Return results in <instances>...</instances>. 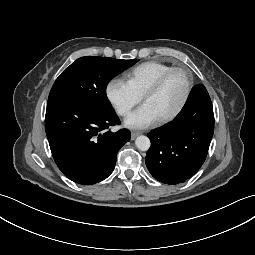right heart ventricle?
I'll return each mask as SVG.
<instances>
[{"label":"right heart ventricle","mask_w":255,"mask_h":255,"mask_svg":"<svg viewBox=\"0 0 255 255\" xmlns=\"http://www.w3.org/2000/svg\"><path fill=\"white\" fill-rule=\"evenodd\" d=\"M171 68L172 66L157 61L141 63L127 74L128 83L143 96L157 78Z\"/></svg>","instance_id":"obj_1"}]
</instances>
